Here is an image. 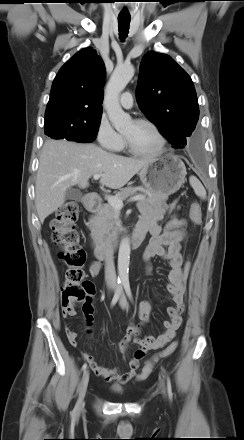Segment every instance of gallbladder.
<instances>
[{
  "mask_svg": "<svg viewBox=\"0 0 244 440\" xmlns=\"http://www.w3.org/2000/svg\"><path fill=\"white\" fill-rule=\"evenodd\" d=\"M65 199L73 201H81L82 193L74 188H69L65 192Z\"/></svg>",
  "mask_w": 244,
  "mask_h": 440,
  "instance_id": "1",
  "label": "gallbladder"
}]
</instances>
